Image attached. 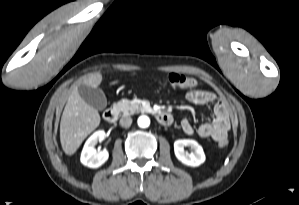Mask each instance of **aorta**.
<instances>
[{"mask_svg": "<svg viewBox=\"0 0 299 205\" xmlns=\"http://www.w3.org/2000/svg\"><path fill=\"white\" fill-rule=\"evenodd\" d=\"M138 125L141 128H147L150 125V119L148 116L142 115L138 118Z\"/></svg>", "mask_w": 299, "mask_h": 205, "instance_id": "1", "label": "aorta"}]
</instances>
